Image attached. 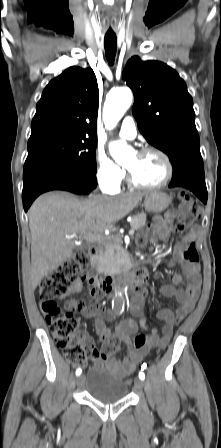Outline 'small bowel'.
<instances>
[{
  "label": "small bowel",
  "mask_w": 221,
  "mask_h": 448,
  "mask_svg": "<svg viewBox=\"0 0 221 448\" xmlns=\"http://www.w3.org/2000/svg\"><path fill=\"white\" fill-rule=\"evenodd\" d=\"M178 219H181V215L174 211H168L163 219L155 218L150 227L148 238L139 240V244L144 245L147 240L153 243L166 242L174 222ZM193 234V232H190L184 235L176 244L170 261V264H178L184 275H174L172 284L161 287L163 295L178 302V308L175 312L169 309H161L158 312V319L164 322L161 334L144 315L146 291L142 286L136 289L130 305L131 313L138 319V322L132 319L124 320L117 326L114 334L111 333L103 320L104 317L113 316L109 308L98 303L86 305L74 299L68 300V307L77 310L83 317H95V331L104 346L102 350L93 347L90 349V355L97 366H105L121 377H128L154 348L164 349L168 345L173 334L174 324L182 320L193 309L201 287L199 265L189 263L183 257L184 249L192 241ZM80 290L81 287L77 286L72 289L70 294ZM89 293L94 298H100L101 296L95 284L89 288ZM139 329L149 333L146 336L145 345L136 348L131 340V335L138 332ZM121 346L126 347L127 354L119 360L114 357V354Z\"/></svg>",
  "instance_id": "c3829d8e"
}]
</instances>
